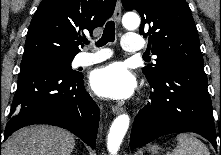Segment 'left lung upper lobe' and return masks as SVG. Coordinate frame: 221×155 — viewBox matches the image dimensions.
<instances>
[{
	"label": "left lung upper lobe",
	"mask_w": 221,
	"mask_h": 155,
	"mask_svg": "<svg viewBox=\"0 0 221 155\" xmlns=\"http://www.w3.org/2000/svg\"><path fill=\"white\" fill-rule=\"evenodd\" d=\"M126 10H137L142 22L139 33L149 37L156 64L143 68L149 81L158 80L176 65H201L198 32L185 0H122Z\"/></svg>",
	"instance_id": "obj_1"
}]
</instances>
